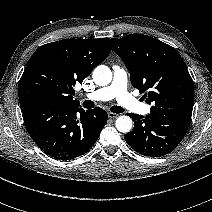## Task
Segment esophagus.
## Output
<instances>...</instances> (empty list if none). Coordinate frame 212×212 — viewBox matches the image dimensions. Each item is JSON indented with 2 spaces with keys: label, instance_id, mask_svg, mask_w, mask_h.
Masks as SVG:
<instances>
[{
  "label": "esophagus",
  "instance_id": "obj_1",
  "mask_svg": "<svg viewBox=\"0 0 212 212\" xmlns=\"http://www.w3.org/2000/svg\"><path fill=\"white\" fill-rule=\"evenodd\" d=\"M118 116V114H116V113H113V112H109L108 113V117L110 118V119H114V118H116Z\"/></svg>",
  "mask_w": 212,
  "mask_h": 212
}]
</instances>
